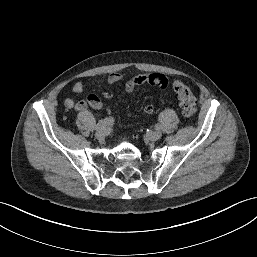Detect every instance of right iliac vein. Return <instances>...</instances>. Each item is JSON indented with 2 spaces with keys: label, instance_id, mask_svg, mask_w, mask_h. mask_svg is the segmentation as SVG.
<instances>
[{
  "label": "right iliac vein",
  "instance_id": "1",
  "mask_svg": "<svg viewBox=\"0 0 257 257\" xmlns=\"http://www.w3.org/2000/svg\"><path fill=\"white\" fill-rule=\"evenodd\" d=\"M106 135V130L105 129H100L95 133V136L98 140H103Z\"/></svg>",
  "mask_w": 257,
  "mask_h": 257
}]
</instances>
